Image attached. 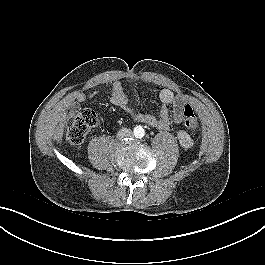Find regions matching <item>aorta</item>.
Masks as SVG:
<instances>
[{
	"mask_svg": "<svg viewBox=\"0 0 265 265\" xmlns=\"http://www.w3.org/2000/svg\"><path fill=\"white\" fill-rule=\"evenodd\" d=\"M144 136V132H143V130L142 129H139L138 131H137V137H143Z\"/></svg>",
	"mask_w": 265,
	"mask_h": 265,
	"instance_id": "1",
	"label": "aorta"
}]
</instances>
